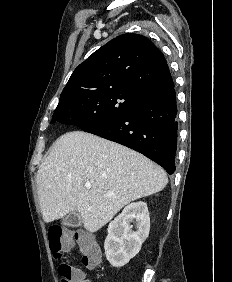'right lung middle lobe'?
<instances>
[{
  "label": "right lung middle lobe",
  "instance_id": "right-lung-middle-lobe-1",
  "mask_svg": "<svg viewBox=\"0 0 232 282\" xmlns=\"http://www.w3.org/2000/svg\"><path fill=\"white\" fill-rule=\"evenodd\" d=\"M140 93L111 89L60 101L51 123L60 122L85 128L111 121L134 110L144 99Z\"/></svg>",
  "mask_w": 232,
  "mask_h": 282
}]
</instances>
